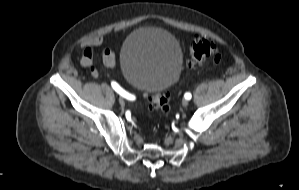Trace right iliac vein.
I'll use <instances>...</instances> for the list:
<instances>
[{"instance_id": "right-iliac-vein-1", "label": "right iliac vein", "mask_w": 299, "mask_h": 190, "mask_svg": "<svg viewBox=\"0 0 299 190\" xmlns=\"http://www.w3.org/2000/svg\"><path fill=\"white\" fill-rule=\"evenodd\" d=\"M119 103H120L121 105H124V104H125L124 99H123V98H119Z\"/></svg>"}]
</instances>
